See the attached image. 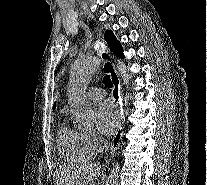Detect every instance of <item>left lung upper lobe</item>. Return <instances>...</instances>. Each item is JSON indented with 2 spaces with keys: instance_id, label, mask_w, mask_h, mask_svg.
<instances>
[{
  "instance_id": "1",
  "label": "left lung upper lobe",
  "mask_w": 207,
  "mask_h": 185,
  "mask_svg": "<svg viewBox=\"0 0 207 185\" xmlns=\"http://www.w3.org/2000/svg\"><path fill=\"white\" fill-rule=\"evenodd\" d=\"M104 38L111 48L112 52L120 58H124L123 49L120 42L116 39L111 30H107L104 34Z\"/></svg>"
}]
</instances>
